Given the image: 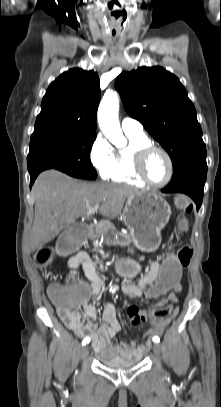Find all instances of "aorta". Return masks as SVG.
<instances>
[{"label": "aorta", "instance_id": "aorta-1", "mask_svg": "<svg viewBox=\"0 0 221 407\" xmlns=\"http://www.w3.org/2000/svg\"><path fill=\"white\" fill-rule=\"evenodd\" d=\"M119 97L116 92H107L98 108V123L102 133L114 145L121 146L125 142L118 119Z\"/></svg>", "mask_w": 221, "mask_h": 407}]
</instances>
